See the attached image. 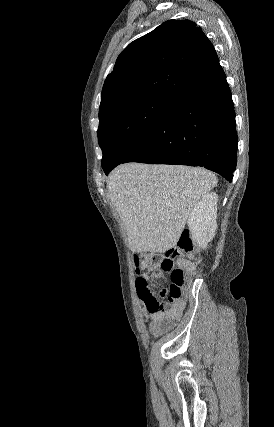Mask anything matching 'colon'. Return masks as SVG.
<instances>
[{
    "mask_svg": "<svg viewBox=\"0 0 274 427\" xmlns=\"http://www.w3.org/2000/svg\"><path fill=\"white\" fill-rule=\"evenodd\" d=\"M175 246L180 247L185 252H191L193 249L192 242L189 240V229H180V236L175 237ZM177 251H169L165 255H145L142 251H133V263L135 273L139 278L133 280V291L138 293L139 297H146L141 300L145 310L153 315L161 313L167 303H174L182 295L189 278V270L196 267L200 262L194 265H185L184 267L175 266L174 261L178 259ZM154 264H159L164 273L170 277L169 284L159 293L157 299L153 293L147 289V278L149 277V268Z\"/></svg>",
    "mask_w": 274,
    "mask_h": 427,
    "instance_id": "5ec220e1",
    "label": "colon"
}]
</instances>
